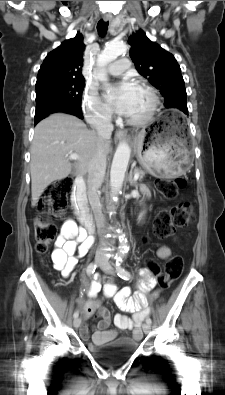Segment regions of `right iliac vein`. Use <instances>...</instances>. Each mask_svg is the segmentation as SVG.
<instances>
[{
	"instance_id": "1",
	"label": "right iliac vein",
	"mask_w": 225,
	"mask_h": 395,
	"mask_svg": "<svg viewBox=\"0 0 225 395\" xmlns=\"http://www.w3.org/2000/svg\"><path fill=\"white\" fill-rule=\"evenodd\" d=\"M103 262H104L103 257L97 256V257L95 258V263H96V265H99V266H100V265H102ZM80 323H81L80 318H75L74 321H73V325H74V327H75L76 329L80 326Z\"/></svg>"
}]
</instances>
